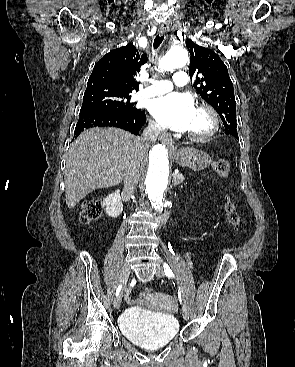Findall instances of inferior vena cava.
<instances>
[{
	"instance_id": "1",
	"label": "inferior vena cava",
	"mask_w": 295,
	"mask_h": 367,
	"mask_svg": "<svg viewBox=\"0 0 295 367\" xmlns=\"http://www.w3.org/2000/svg\"><path fill=\"white\" fill-rule=\"evenodd\" d=\"M162 127L158 124H150L140 138V144L144 149L149 147L150 143H154L162 132ZM139 179V167L133 164L126 169L124 176V193L130 195L134 192Z\"/></svg>"
}]
</instances>
